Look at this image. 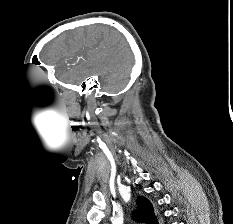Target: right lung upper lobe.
Here are the masks:
<instances>
[{
  "mask_svg": "<svg viewBox=\"0 0 233 224\" xmlns=\"http://www.w3.org/2000/svg\"><path fill=\"white\" fill-rule=\"evenodd\" d=\"M137 206V210L133 212V218L136 221L145 224H158L157 218L154 214V209L148 199L139 197L137 200Z\"/></svg>",
  "mask_w": 233,
  "mask_h": 224,
  "instance_id": "1",
  "label": "right lung upper lobe"
}]
</instances>
